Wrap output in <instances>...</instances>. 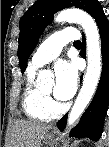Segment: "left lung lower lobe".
Instances as JSON below:
<instances>
[{
  "mask_svg": "<svg viewBox=\"0 0 109 147\" xmlns=\"http://www.w3.org/2000/svg\"><path fill=\"white\" fill-rule=\"evenodd\" d=\"M90 15L95 19L100 32L103 63L102 74L92 102L82 115L78 125L71 130L70 137L89 138L93 141H97L102 134L104 118L108 109L109 22L100 4L92 11ZM81 56L85 58V49H82ZM66 121L67 115L57 122V126L61 131L64 130Z\"/></svg>",
  "mask_w": 109,
  "mask_h": 147,
  "instance_id": "obj_1",
  "label": "left lung lower lobe"
}]
</instances>
